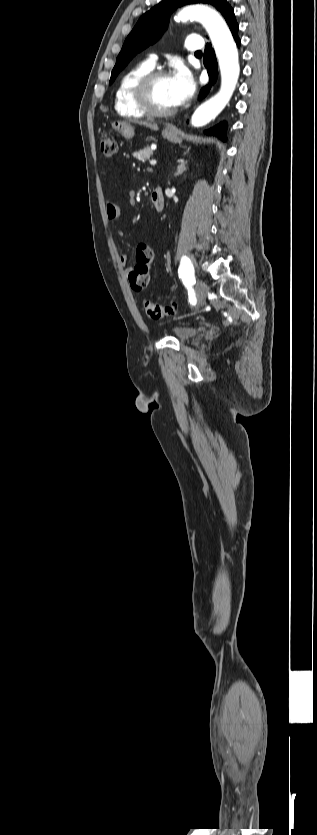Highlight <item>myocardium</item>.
<instances>
[{
  "instance_id": "obj_1",
  "label": "myocardium",
  "mask_w": 317,
  "mask_h": 835,
  "mask_svg": "<svg viewBox=\"0 0 317 835\" xmlns=\"http://www.w3.org/2000/svg\"><path fill=\"white\" fill-rule=\"evenodd\" d=\"M164 70H152L142 76L134 87V98L138 106L151 117H167L176 112V107L170 109L159 108L153 98V90L159 79L167 78Z\"/></svg>"
}]
</instances>
